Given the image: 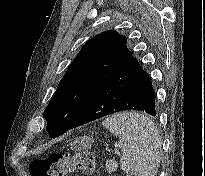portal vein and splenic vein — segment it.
<instances>
[{"label":"portal vein and splenic vein","mask_w":205,"mask_h":176,"mask_svg":"<svg viewBox=\"0 0 205 176\" xmlns=\"http://www.w3.org/2000/svg\"><path fill=\"white\" fill-rule=\"evenodd\" d=\"M114 152H115V154H120V151L117 148L114 149Z\"/></svg>","instance_id":"portal-vein-and-splenic-vein-1"}]
</instances>
